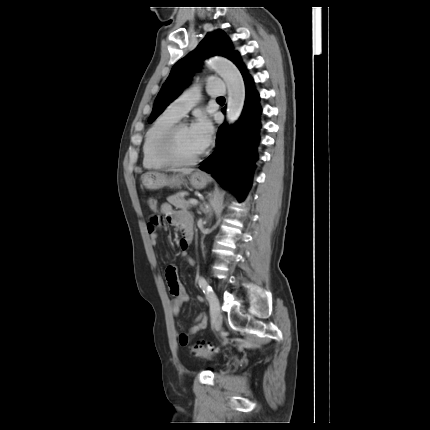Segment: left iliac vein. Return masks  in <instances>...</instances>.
I'll return each mask as SVG.
<instances>
[{
	"instance_id": "4c4485c4",
	"label": "left iliac vein",
	"mask_w": 430,
	"mask_h": 430,
	"mask_svg": "<svg viewBox=\"0 0 430 430\" xmlns=\"http://www.w3.org/2000/svg\"><path fill=\"white\" fill-rule=\"evenodd\" d=\"M212 322L216 329H220L222 325V316L220 312V305L218 304L212 308Z\"/></svg>"
}]
</instances>
